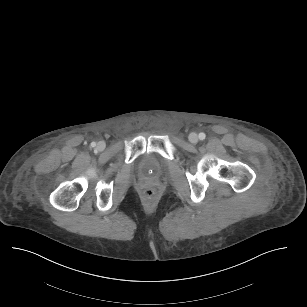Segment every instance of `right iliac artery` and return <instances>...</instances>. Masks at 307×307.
Here are the masks:
<instances>
[{
	"label": "right iliac artery",
	"instance_id": "1",
	"mask_svg": "<svg viewBox=\"0 0 307 307\" xmlns=\"http://www.w3.org/2000/svg\"><path fill=\"white\" fill-rule=\"evenodd\" d=\"M91 146H92V147H95V146H96V143H91Z\"/></svg>",
	"mask_w": 307,
	"mask_h": 307
}]
</instances>
